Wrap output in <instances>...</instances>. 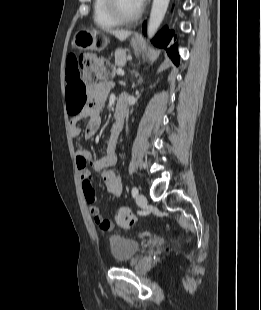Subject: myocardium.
<instances>
[{
  "label": "myocardium",
  "instance_id": "obj_1",
  "mask_svg": "<svg viewBox=\"0 0 261 310\" xmlns=\"http://www.w3.org/2000/svg\"><path fill=\"white\" fill-rule=\"evenodd\" d=\"M105 1V8L108 14L116 20L119 24H126L131 23L139 19L142 13V9L139 8V10L130 16L124 15L118 6L117 0H104Z\"/></svg>",
  "mask_w": 261,
  "mask_h": 310
}]
</instances>
